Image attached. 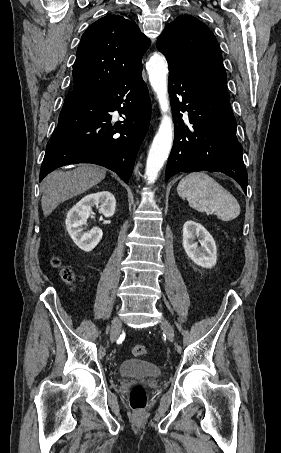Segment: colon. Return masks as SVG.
<instances>
[{"mask_svg": "<svg viewBox=\"0 0 281 453\" xmlns=\"http://www.w3.org/2000/svg\"><path fill=\"white\" fill-rule=\"evenodd\" d=\"M60 264L58 257L50 258V265L57 267ZM61 278L66 282L75 281V275L71 270L64 269L61 272ZM132 355L136 358H145L148 356V349L145 345H134L132 347ZM130 408L135 412H142L146 407V396L144 388L140 383L134 384L129 392Z\"/></svg>", "mask_w": 281, "mask_h": 453, "instance_id": "1", "label": "colon"}]
</instances>
